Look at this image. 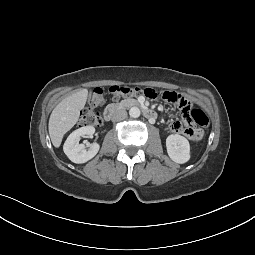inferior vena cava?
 Here are the masks:
<instances>
[{
    "instance_id": "obj_1",
    "label": "inferior vena cava",
    "mask_w": 255,
    "mask_h": 255,
    "mask_svg": "<svg viewBox=\"0 0 255 255\" xmlns=\"http://www.w3.org/2000/svg\"><path fill=\"white\" fill-rule=\"evenodd\" d=\"M127 118V112L123 109H117L112 114V121L118 122Z\"/></svg>"
}]
</instances>
